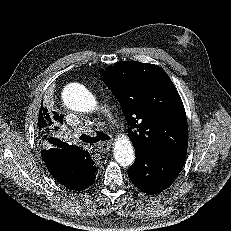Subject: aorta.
Returning a JSON list of instances; mask_svg holds the SVG:
<instances>
[{"label": "aorta", "mask_w": 231, "mask_h": 231, "mask_svg": "<svg viewBox=\"0 0 231 231\" xmlns=\"http://www.w3.org/2000/svg\"><path fill=\"white\" fill-rule=\"evenodd\" d=\"M62 100L69 109L88 113L97 108L94 95L79 83L68 84L62 92ZM113 155L115 161L122 167H129L135 159L132 142L127 137H121L114 143Z\"/></svg>", "instance_id": "762f6f07"}]
</instances>
